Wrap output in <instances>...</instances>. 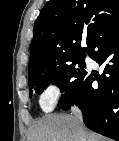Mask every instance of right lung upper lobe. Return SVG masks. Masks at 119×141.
I'll return each instance as SVG.
<instances>
[{
	"label": "right lung upper lobe",
	"instance_id": "1",
	"mask_svg": "<svg viewBox=\"0 0 119 141\" xmlns=\"http://www.w3.org/2000/svg\"><path fill=\"white\" fill-rule=\"evenodd\" d=\"M119 20V0H50L34 24L28 75L85 57L103 29ZM86 47L81 48V43Z\"/></svg>",
	"mask_w": 119,
	"mask_h": 141
}]
</instances>
